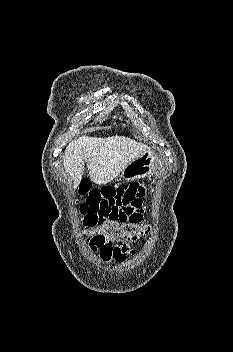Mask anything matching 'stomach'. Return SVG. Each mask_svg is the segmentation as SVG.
Instances as JSON below:
<instances>
[{
  "label": "stomach",
  "mask_w": 233,
  "mask_h": 352,
  "mask_svg": "<svg viewBox=\"0 0 233 352\" xmlns=\"http://www.w3.org/2000/svg\"><path fill=\"white\" fill-rule=\"evenodd\" d=\"M158 163L159 158L155 151L147 149L121 171V176L127 181L145 178L157 170Z\"/></svg>",
  "instance_id": "stomach-1"
}]
</instances>
